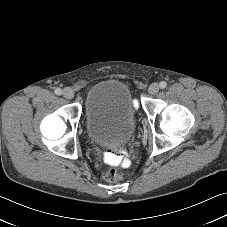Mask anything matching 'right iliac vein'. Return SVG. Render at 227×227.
Listing matches in <instances>:
<instances>
[{"mask_svg":"<svg viewBox=\"0 0 227 227\" xmlns=\"http://www.w3.org/2000/svg\"><path fill=\"white\" fill-rule=\"evenodd\" d=\"M62 94L66 99H73L74 97V91L69 87L65 88Z\"/></svg>","mask_w":227,"mask_h":227,"instance_id":"1","label":"right iliac vein"}]
</instances>
